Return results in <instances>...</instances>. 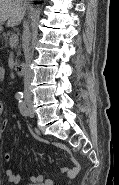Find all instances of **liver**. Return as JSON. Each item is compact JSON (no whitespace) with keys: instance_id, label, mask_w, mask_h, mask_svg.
<instances>
[{"instance_id":"6515ba94","label":"liver","mask_w":119,"mask_h":185,"mask_svg":"<svg viewBox=\"0 0 119 185\" xmlns=\"http://www.w3.org/2000/svg\"><path fill=\"white\" fill-rule=\"evenodd\" d=\"M26 0H0V25L7 21L8 27L19 25L25 14Z\"/></svg>"}]
</instances>
